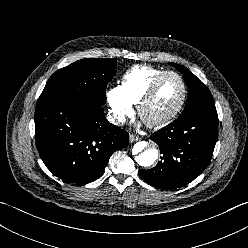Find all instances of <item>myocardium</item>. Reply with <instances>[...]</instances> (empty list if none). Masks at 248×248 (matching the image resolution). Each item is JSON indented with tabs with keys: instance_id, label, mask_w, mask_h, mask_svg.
<instances>
[{
	"instance_id": "f54148a6",
	"label": "myocardium",
	"mask_w": 248,
	"mask_h": 248,
	"mask_svg": "<svg viewBox=\"0 0 248 248\" xmlns=\"http://www.w3.org/2000/svg\"><path fill=\"white\" fill-rule=\"evenodd\" d=\"M168 76H175L181 82V85H182L181 99H180L178 105L171 112H169L166 115H164L160 118H157L155 120H147L145 118V110H146L147 106L150 104V102L152 101V99L154 98V96L157 92V89H158L159 85L161 84V82ZM187 94H188V89H187V85H186V82L183 79V77L176 72L166 71L163 74L159 75L156 79H154V81L151 83V85L147 89L146 93L142 97L141 101L139 102V104H138L139 117L150 128H155V129L161 128V127L165 126L166 124H168L169 122H171L173 119H175L180 114V112L182 111V109L184 108V105L186 103Z\"/></svg>"
}]
</instances>
